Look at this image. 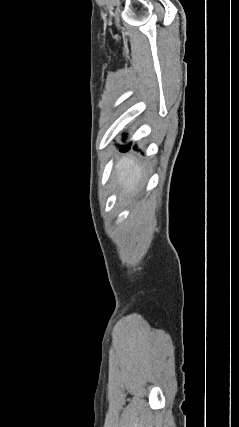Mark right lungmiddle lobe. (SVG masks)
<instances>
[{
    "label": "right lung middle lobe",
    "instance_id": "obj_1",
    "mask_svg": "<svg viewBox=\"0 0 239 427\" xmlns=\"http://www.w3.org/2000/svg\"><path fill=\"white\" fill-rule=\"evenodd\" d=\"M129 148H130V144H128V145H126V146L122 147V149H121V150L129 149Z\"/></svg>",
    "mask_w": 239,
    "mask_h": 427
}]
</instances>
